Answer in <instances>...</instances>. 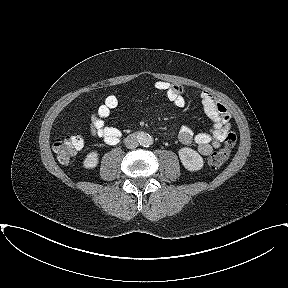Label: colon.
Segmentation results:
<instances>
[{
    "label": "colon",
    "mask_w": 288,
    "mask_h": 288,
    "mask_svg": "<svg viewBox=\"0 0 288 288\" xmlns=\"http://www.w3.org/2000/svg\"><path fill=\"white\" fill-rule=\"evenodd\" d=\"M237 135L234 131H229L224 139V146L219 151L213 153L207 161L211 169L220 168L229 158L231 150L236 145ZM84 138L79 133H65L58 136L53 144L54 152L62 163H68L74 155L82 149Z\"/></svg>",
    "instance_id": "colon-1"
}]
</instances>
